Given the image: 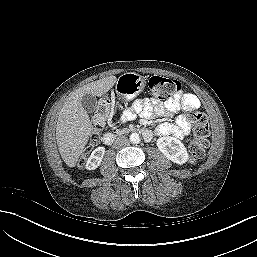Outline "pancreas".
<instances>
[{"label": "pancreas", "instance_id": "cf45deb5", "mask_svg": "<svg viewBox=\"0 0 257 257\" xmlns=\"http://www.w3.org/2000/svg\"><path fill=\"white\" fill-rule=\"evenodd\" d=\"M129 131H130V129H128V128L117 129L116 134L121 135V134H124V133H128Z\"/></svg>", "mask_w": 257, "mask_h": 257}]
</instances>
